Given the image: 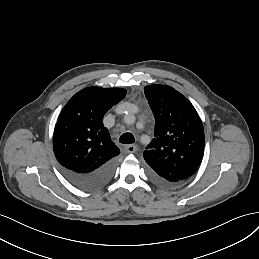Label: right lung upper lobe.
Returning <instances> with one entry per match:
<instances>
[{"mask_svg": "<svg viewBox=\"0 0 259 259\" xmlns=\"http://www.w3.org/2000/svg\"><path fill=\"white\" fill-rule=\"evenodd\" d=\"M125 95L123 88L94 86L69 100L60 113L53 137L55 157L64 168L86 173L119 155L102 120Z\"/></svg>", "mask_w": 259, "mask_h": 259, "instance_id": "cb5924a9", "label": "right lung upper lobe"}]
</instances>
